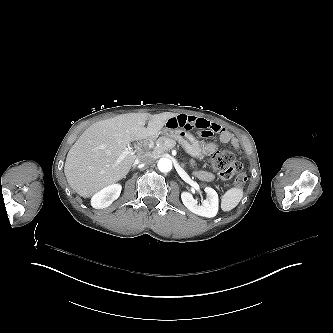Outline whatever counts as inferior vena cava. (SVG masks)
<instances>
[{
  "mask_svg": "<svg viewBox=\"0 0 333 333\" xmlns=\"http://www.w3.org/2000/svg\"><path fill=\"white\" fill-rule=\"evenodd\" d=\"M153 162V158L149 157V156H144V157H141L139 159H137L135 162H134V167H137L139 164L141 163H146V164H150Z\"/></svg>",
  "mask_w": 333,
  "mask_h": 333,
  "instance_id": "inferior-vena-cava-1",
  "label": "inferior vena cava"
}]
</instances>
